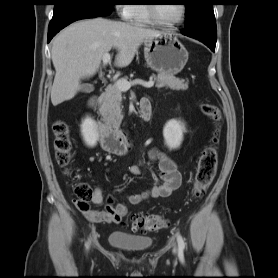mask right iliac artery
Returning a JSON list of instances; mask_svg holds the SVG:
<instances>
[{
	"mask_svg": "<svg viewBox=\"0 0 278 278\" xmlns=\"http://www.w3.org/2000/svg\"><path fill=\"white\" fill-rule=\"evenodd\" d=\"M89 245H90V243H89V241L85 244V246H86V249H88L89 248Z\"/></svg>",
	"mask_w": 278,
	"mask_h": 278,
	"instance_id": "82829eb1",
	"label": "right iliac artery"
}]
</instances>
